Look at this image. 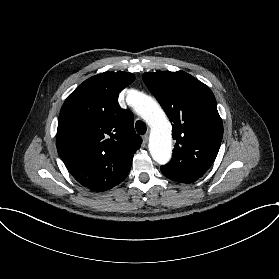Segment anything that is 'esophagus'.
<instances>
[{
  "mask_svg": "<svg viewBox=\"0 0 279 279\" xmlns=\"http://www.w3.org/2000/svg\"><path fill=\"white\" fill-rule=\"evenodd\" d=\"M143 143L146 144L148 142V135L145 134L142 136Z\"/></svg>",
  "mask_w": 279,
  "mask_h": 279,
  "instance_id": "obj_1",
  "label": "esophagus"
}]
</instances>
